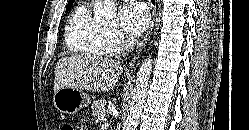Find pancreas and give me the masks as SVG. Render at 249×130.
Returning <instances> with one entry per match:
<instances>
[{"instance_id": "cf45deb5", "label": "pancreas", "mask_w": 249, "mask_h": 130, "mask_svg": "<svg viewBox=\"0 0 249 130\" xmlns=\"http://www.w3.org/2000/svg\"><path fill=\"white\" fill-rule=\"evenodd\" d=\"M105 106H106V100L104 99L95 100L91 105L92 115L96 117L102 112L105 113L106 110Z\"/></svg>"}]
</instances>
